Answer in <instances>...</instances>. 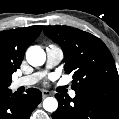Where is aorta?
I'll return each instance as SVG.
<instances>
[{
  "label": "aorta",
  "instance_id": "aorta-1",
  "mask_svg": "<svg viewBox=\"0 0 119 119\" xmlns=\"http://www.w3.org/2000/svg\"><path fill=\"white\" fill-rule=\"evenodd\" d=\"M27 62L36 67L44 64L46 54L40 46H31L26 52ZM43 108L48 112H54L58 108V101L54 97H47L43 101Z\"/></svg>",
  "mask_w": 119,
  "mask_h": 119
}]
</instances>
